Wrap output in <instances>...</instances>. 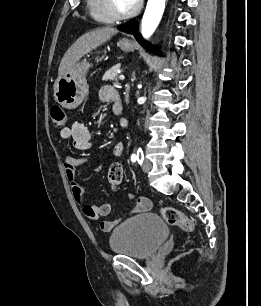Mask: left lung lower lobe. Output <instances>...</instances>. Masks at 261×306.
Returning a JSON list of instances; mask_svg holds the SVG:
<instances>
[{
	"label": "left lung lower lobe",
	"mask_w": 261,
	"mask_h": 306,
	"mask_svg": "<svg viewBox=\"0 0 261 306\" xmlns=\"http://www.w3.org/2000/svg\"><path fill=\"white\" fill-rule=\"evenodd\" d=\"M118 29L121 31H124L126 33L129 34H133L136 38V40L144 47H146L147 49H149L150 51L156 53L159 55V52L156 51L153 47H151L147 42H145L143 40V38L141 37L140 33L138 32V25H137V21L136 19H132L129 22L118 26Z\"/></svg>",
	"instance_id": "obj_1"
}]
</instances>
